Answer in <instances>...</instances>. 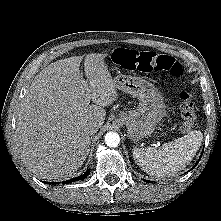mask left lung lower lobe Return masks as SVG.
<instances>
[{
	"label": "left lung lower lobe",
	"mask_w": 221,
	"mask_h": 221,
	"mask_svg": "<svg viewBox=\"0 0 221 221\" xmlns=\"http://www.w3.org/2000/svg\"><path fill=\"white\" fill-rule=\"evenodd\" d=\"M197 163H198V162H197ZM196 165H197V164H196ZM196 165H195V166H196ZM195 166H194V167H195ZM144 181H146V182H147V180H144ZM148 182H149V181H148Z\"/></svg>",
	"instance_id": "obj_1"
}]
</instances>
